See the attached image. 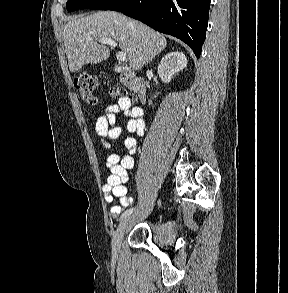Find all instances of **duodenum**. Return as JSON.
Returning a JSON list of instances; mask_svg holds the SVG:
<instances>
[{
	"instance_id": "obj_1",
	"label": "duodenum",
	"mask_w": 288,
	"mask_h": 293,
	"mask_svg": "<svg viewBox=\"0 0 288 293\" xmlns=\"http://www.w3.org/2000/svg\"><path fill=\"white\" fill-rule=\"evenodd\" d=\"M115 70L119 73L122 83L132 89L137 94L140 101L143 102L146 97L145 81L142 78L136 77L133 71L126 66L117 65L115 66Z\"/></svg>"
}]
</instances>
